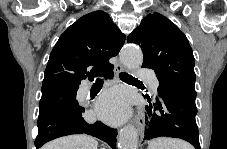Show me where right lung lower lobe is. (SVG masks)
<instances>
[{
  "label": "right lung lower lobe",
  "mask_w": 227,
  "mask_h": 149,
  "mask_svg": "<svg viewBox=\"0 0 227 149\" xmlns=\"http://www.w3.org/2000/svg\"><path fill=\"white\" fill-rule=\"evenodd\" d=\"M113 67L104 76L113 78ZM83 107L78 108H56L49 113L38 117V135L35 139L36 148H40L46 142L55 138L71 134H89L107 142L112 149L116 147L117 130L112 129L97 121L88 124L84 118Z\"/></svg>",
  "instance_id": "right-lung-lower-lobe-1"
}]
</instances>
